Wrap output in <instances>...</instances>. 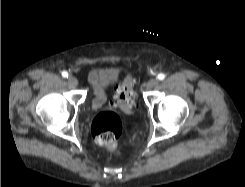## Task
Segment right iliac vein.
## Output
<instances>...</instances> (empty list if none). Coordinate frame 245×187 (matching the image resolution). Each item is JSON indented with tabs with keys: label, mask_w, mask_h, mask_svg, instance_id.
I'll return each mask as SVG.
<instances>
[{
	"label": "right iliac vein",
	"mask_w": 245,
	"mask_h": 187,
	"mask_svg": "<svg viewBox=\"0 0 245 187\" xmlns=\"http://www.w3.org/2000/svg\"><path fill=\"white\" fill-rule=\"evenodd\" d=\"M68 82L72 86H77L78 85V80L74 76H69Z\"/></svg>",
	"instance_id": "1"
}]
</instances>
